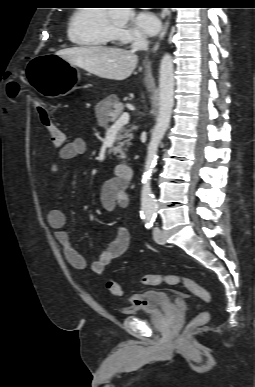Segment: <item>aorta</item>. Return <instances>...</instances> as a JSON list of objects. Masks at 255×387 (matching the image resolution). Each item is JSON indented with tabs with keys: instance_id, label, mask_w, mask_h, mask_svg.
<instances>
[{
	"instance_id": "762f6f07",
	"label": "aorta",
	"mask_w": 255,
	"mask_h": 387,
	"mask_svg": "<svg viewBox=\"0 0 255 387\" xmlns=\"http://www.w3.org/2000/svg\"><path fill=\"white\" fill-rule=\"evenodd\" d=\"M110 16L126 23L133 16V8H108ZM174 106V65L172 56L166 53L159 69V112L151 140L148 145L144 173L142 176L141 210L145 218H152L157 210V201L151 189V176L158 160V147L163 139L171 120Z\"/></svg>"
}]
</instances>
